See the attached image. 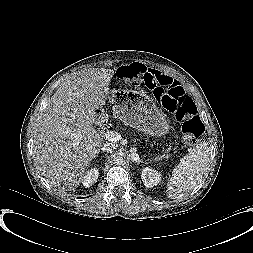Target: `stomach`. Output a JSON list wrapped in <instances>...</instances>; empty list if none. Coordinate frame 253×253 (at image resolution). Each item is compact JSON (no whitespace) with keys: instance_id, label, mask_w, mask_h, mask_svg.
I'll return each mask as SVG.
<instances>
[{"instance_id":"1","label":"stomach","mask_w":253,"mask_h":253,"mask_svg":"<svg viewBox=\"0 0 253 253\" xmlns=\"http://www.w3.org/2000/svg\"><path fill=\"white\" fill-rule=\"evenodd\" d=\"M114 115L124 124L151 136L165 135L169 123L155 102L138 92L114 90L109 97Z\"/></svg>"}]
</instances>
